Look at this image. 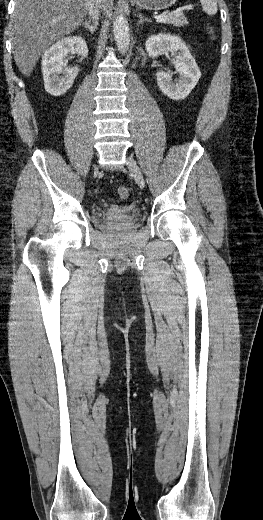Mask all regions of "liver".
<instances>
[{"label": "liver", "mask_w": 263, "mask_h": 520, "mask_svg": "<svg viewBox=\"0 0 263 520\" xmlns=\"http://www.w3.org/2000/svg\"><path fill=\"white\" fill-rule=\"evenodd\" d=\"M113 0H102L107 13ZM87 0H15L12 17L14 60L28 76L40 56L58 39L70 34L84 21Z\"/></svg>", "instance_id": "1"}]
</instances>
